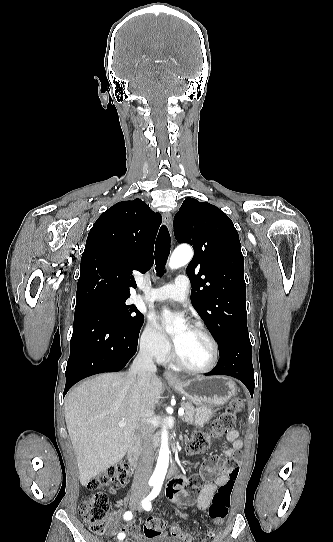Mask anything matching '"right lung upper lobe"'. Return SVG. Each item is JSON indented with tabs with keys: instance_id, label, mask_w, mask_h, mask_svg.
I'll list each match as a JSON object with an SVG mask.
<instances>
[{
	"instance_id": "1",
	"label": "right lung upper lobe",
	"mask_w": 333,
	"mask_h": 542,
	"mask_svg": "<svg viewBox=\"0 0 333 542\" xmlns=\"http://www.w3.org/2000/svg\"><path fill=\"white\" fill-rule=\"evenodd\" d=\"M162 217L141 199L122 201L106 210L91 228L80 264L76 304L95 293L118 299L136 288L133 270L153 265V250Z\"/></svg>"
}]
</instances>
